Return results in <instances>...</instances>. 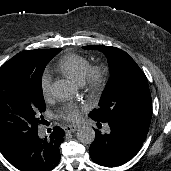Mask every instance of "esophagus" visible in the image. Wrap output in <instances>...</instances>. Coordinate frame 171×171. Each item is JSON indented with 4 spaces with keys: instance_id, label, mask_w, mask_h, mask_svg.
I'll list each match as a JSON object with an SVG mask.
<instances>
[{
    "instance_id": "esophagus-1",
    "label": "esophagus",
    "mask_w": 171,
    "mask_h": 171,
    "mask_svg": "<svg viewBox=\"0 0 171 171\" xmlns=\"http://www.w3.org/2000/svg\"><path fill=\"white\" fill-rule=\"evenodd\" d=\"M78 128H79V126H76V125H66V126H64L65 132H75Z\"/></svg>"
}]
</instances>
